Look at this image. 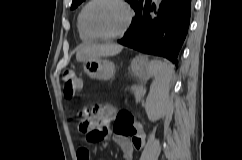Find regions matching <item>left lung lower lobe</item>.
Masks as SVG:
<instances>
[{
  "mask_svg": "<svg viewBox=\"0 0 242 160\" xmlns=\"http://www.w3.org/2000/svg\"><path fill=\"white\" fill-rule=\"evenodd\" d=\"M191 11L192 0H162L158 6L154 0H146L118 42L143 53L165 57L177 66Z\"/></svg>",
  "mask_w": 242,
  "mask_h": 160,
  "instance_id": "1",
  "label": "left lung lower lobe"
}]
</instances>
